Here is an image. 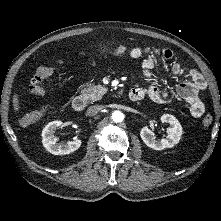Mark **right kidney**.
<instances>
[{
  "instance_id": "1",
  "label": "right kidney",
  "mask_w": 221,
  "mask_h": 221,
  "mask_svg": "<svg viewBox=\"0 0 221 221\" xmlns=\"http://www.w3.org/2000/svg\"><path fill=\"white\" fill-rule=\"evenodd\" d=\"M63 128L64 123L60 120L48 123L42 131L43 146L54 155L70 154L78 150L81 140L68 141L67 143H57V137L53 134L56 128Z\"/></svg>"
}]
</instances>
